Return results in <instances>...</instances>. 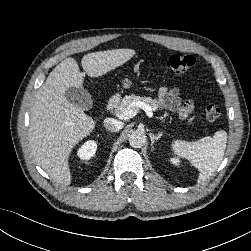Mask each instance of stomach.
I'll return each instance as SVG.
<instances>
[{"mask_svg": "<svg viewBox=\"0 0 251 251\" xmlns=\"http://www.w3.org/2000/svg\"><path fill=\"white\" fill-rule=\"evenodd\" d=\"M121 84H122L123 88L129 89V88L132 87V84H133V83H132V81H131L130 79L124 78V79L121 81Z\"/></svg>", "mask_w": 251, "mask_h": 251, "instance_id": "stomach-1", "label": "stomach"}]
</instances>
